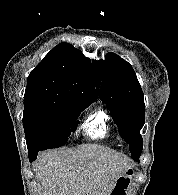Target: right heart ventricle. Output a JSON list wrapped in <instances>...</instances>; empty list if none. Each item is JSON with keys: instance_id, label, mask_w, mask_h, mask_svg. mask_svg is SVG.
I'll use <instances>...</instances> for the list:
<instances>
[{"instance_id": "right-heart-ventricle-1", "label": "right heart ventricle", "mask_w": 178, "mask_h": 195, "mask_svg": "<svg viewBox=\"0 0 178 195\" xmlns=\"http://www.w3.org/2000/svg\"><path fill=\"white\" fill-rule=\"evenodd\" d=\"M84 134L94 140H104L112 135V124L109 114L101 108L91 112L82 124Z\"/></svg>"}]
</instances>
